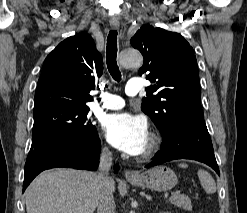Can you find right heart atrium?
<instances>
[{
  "instance_id": "d8ad5b80",
  "label": "right heart atrium",
  "mask_w": 247,
  "mask_h": 213,
  "mask_svg": "<svg viewBox=\"0 0 247 213\" xmlns=\"http://www.w3.org/2000/svg\"><path fill=\"white\" fill-rule=\"evenodd\" d=\"M102 152H103V154L106 155V156L111 155V150H110L109 146H107V145L103 146Z\"/></svg>"
}]
</instances>
